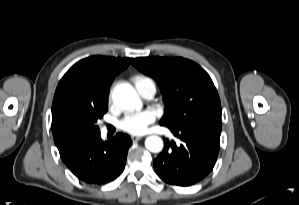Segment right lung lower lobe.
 <instances>
[{
    "mask_svg": "<svg viewBox=\"0 0 299 205\" xmlns=\"http://www.w3.org/2000/svg\"><path fill=\"white\" fill-rule=\"evenodd\" d=\"M131 144L132 141L126 134L118 133L112 141L103 142L98 133L59 153L63 162L78 179L101 185L121 175Z\"/></svg>",
    "mask_w": 299,
    "mask_h": 205,
    "instance_id": "98d812e1",
    "label": "right lung lower lobe"
}]
</instances>
